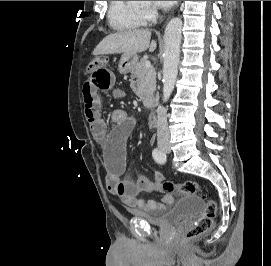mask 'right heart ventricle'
Returning <instances> with one entry per match:
<instances>
[{
  "label": "right heart ventricle",
  "mask_w": 271,
  "mask_h": 266,
  "mask_svg": "<svg viewBox=\"0 0 271 266\" xmlns=\"http://www.w3.org/2000/svg\"><path fill=\"white\" fill-rule=\"evenodd\" d=\"M108 19L119 31L133 30L145 23L143 11L130 1H110Z\"/></svg>",
  "instance_id": "1"
}]
</instances>
